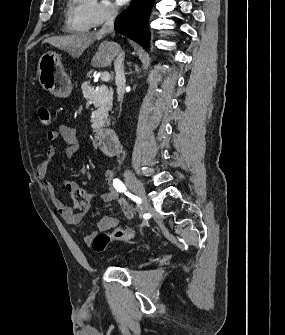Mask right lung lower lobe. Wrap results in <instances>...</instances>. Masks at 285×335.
<instances>
[{"instance_id": "right-lung-lower-lobe-1", "label": "right lung lower lobe", "mask_w": 285, "mask_h": 335, "mask_svg": "<svg viewBox=\"0 0 285 335\" xmlns=\"http://www.w3.org/2000/svg\"><path fill=\"white\" fill-rule=\"evenodd\" d=\"M155 0H132L129 8L118 15L115 30L139 43L145 49L149 47L148 19Z\"/></svg>"}]
</instances>
